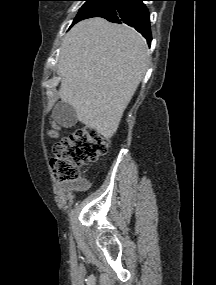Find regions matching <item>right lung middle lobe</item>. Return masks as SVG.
<instances>
[{
    "instance_id": "1",
    "label": "right lung middle lobe",
    "mask_w": 216,
    "mask_h": 285,
    "mask_svg": "<svg viewBox=\"0 0 216 285\" xmlns=\"http://www.w3.org/2000/svg\"><path fill=\"white\" fill-rule=\"evenodd\" d=\"M83 1H85V3L82 6V8L79 10L72 25L80 20L91 18L98 15L99 13L113 6L119 0H83Z\"/></svg>"
}]
</instances>
